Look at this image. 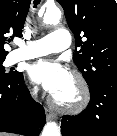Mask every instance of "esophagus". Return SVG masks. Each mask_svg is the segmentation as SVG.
<instances>
[{"label":"esophagus","instance_id":"obj_1","mask_svg":"<svg viewBox=\"0 0 117 136\" xmlns=\"http://www.w3.org/2000/svg\"><path fill=\"white\" fill-rule=\"evenodd\" d=\"M45 113L48 120L54 119L56 116L55 113L48 108L45 109Z\"/></svg>","mask_w":117,"mask_h":136}]
</instances>
